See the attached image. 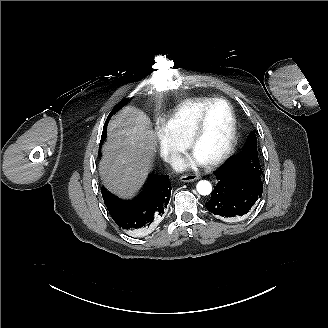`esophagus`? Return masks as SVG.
<instances>
[{
    "label": "esophagus",
    "instance_id": "34e87169",
    "mask_svg": "<svg viewBox=\"0 0 328 328\" xmlns=\"http://www.w3.org/2000/svg\"><path fill=\"white\" fill-rule=\"evenodd\" d=\"M199 179V176L193 174H187L180 177L181 182H192Z\"/></svg>",
    "mask_w": 328,
    "mask_h": 328
}]
</instances>
